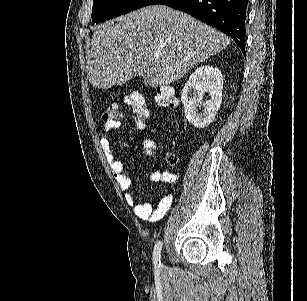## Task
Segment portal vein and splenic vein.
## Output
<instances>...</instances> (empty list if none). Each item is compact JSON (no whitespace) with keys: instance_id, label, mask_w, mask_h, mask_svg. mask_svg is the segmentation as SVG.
I'll list each match as a JSON object with an SVG mask.
<instances>
[{"instance_id":"1","label":"portal vein and splenic vein","mask_w":307,"mask_h":301,"mask_svg":"<svg viewBox=\"0 0 307 301\" xmlns=\"http://www.w3.org/2000/svg\"><path fill=\"white\" fill-rule=\"evenodd\" d=\"M155 56H159V54H155Z\"/></svg>"}]
</instances>
